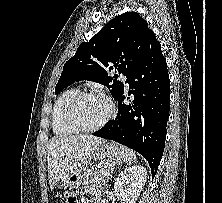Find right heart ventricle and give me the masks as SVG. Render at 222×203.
I'll return each instance as SVG.
<instances>
[{
	"label": "right heart ventricle",
	"instance_id": "1",
	"mask_svg": "<svg viewBox=\"0 0 222 203\" xmlns=\"http://www.w3.org/2000/svg\"><path fill=\"white\" fill-rule=\"evenodd\" d=\"M80 92L78 88L72 87L65 90L55 102L52 112V129L57 136H70L78 131L71 127L65 119V110L69 101Z\"/></svg>",
	"mask_w": 222,
	"mask_h": 203
}]
</instances>
